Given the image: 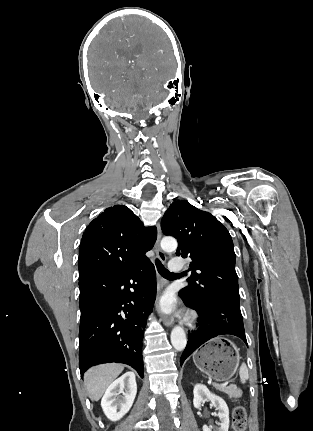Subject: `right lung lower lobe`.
Wrapping results in <instances>:
<instances>
[{"label":"right lung lower lobe","mask_w":313,"mask_h":431,"mask_svg":"<svg viewBox=\"0 0 313 431\" xmlns=\"http://www.w3.org/2000/svg\"><path fill=\"white\" fill-rule=\"evenodd\" d=\"M81 375L91 366L118 362L141 377L142 339L156 298V273L148 260L140 267L79 280Z\"/></svg>","instance_id":"1"}]
</instances>
